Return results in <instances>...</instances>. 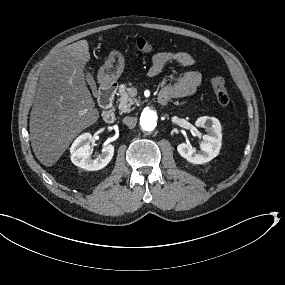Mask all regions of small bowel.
Segmentation results:
<instances>
[{
	"mask_svg": "<svg viewBox=\"0 0 285 285\" xmlns=\"http://www.w3.org/2000/svg\"><path fill=\"white\" fill-rule=\"evenodd\" d=\"M195 58L183 51H162L156 53L152 58L149 76L155 77L170 63L190 67L195 64ZM202 77L199 72L189 70L184 72L176 81L164 85L159 93V100L166 102L172 98H183L191 96L200 86Z\"/></svg>",
	"mask_w": 285,
	"mask_h": 285,
	"instance_id": "c3829d8e",
	"label": "small bowel"
}]
</instances>
